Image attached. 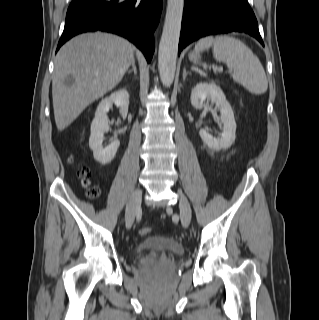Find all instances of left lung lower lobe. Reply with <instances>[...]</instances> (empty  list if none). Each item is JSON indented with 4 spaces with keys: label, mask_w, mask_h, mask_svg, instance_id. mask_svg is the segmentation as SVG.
I'll use <instances>...</instances> for the list:
<instances>
[{
    "label": "left lung lower lobe",
    "mask_w": 319,
    "mask_h": 320,
    "mask_svg": "<svg viewBox=\"0 0 319 320\" xmlns=\"http://www.w3.org/2000/svg\"><path fill=\"white\" fill-rule=\"evenodd\" d=\"M178 52L201 37L228 32H243L263 46L258 23L247 0H184Z\"/></svg>",
    "instance_id": "left-lung-lower-lobe-1"
}]
</instances>
